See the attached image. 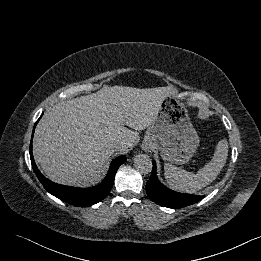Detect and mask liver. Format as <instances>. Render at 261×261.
<instances>
[{
    "label": "liver",
    "mask_w": 261,
    "mask_h": 261,
    "mask_svg": "<svg viewBox=\"0 0 261 261\" xmlns=\"http://www.w3.org/2000/svg\"><path fill=\"white\" fill-rule=\"evenodd\" d=\"M172 93L171 86H104L96 93L59 102L36 127L35 161L56 183L96 184L103 179L113 153L135 145L138 132L149 127L161 101ZM116 142L122 146L113 150Z\"/></svg>",
    "instance_id": "liver-1"
}]
</instances>
